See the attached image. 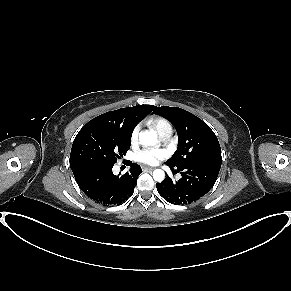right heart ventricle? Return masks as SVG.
<instances>
[{"label": "right heart ventricle", "mask_w": 291, "mask_h": 291, "mask_svg": "<svg viewBox=\"0 0 291 291\" xmlns=\"http://www.w3.org/2000/svg\"><path fill=\"white\" fill-rule=\"evenodd\" d=\"M149 124L160 133L163 129L170 127V123L163 117H153L150 119Z\"/></svg>", "instance_id": "obj_1"}]
</instances>
